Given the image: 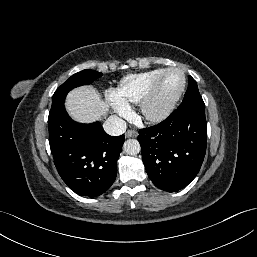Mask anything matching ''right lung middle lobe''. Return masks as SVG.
<instances>
[{
  "label": "right lung middle lobe",
  "instance_id": "dd1d6c3e",
  "mask_svg": "<svg viewBox=\"0 0 257 257\" xmlns=\"http://www.w3.org/2000/svg\"><path fill=\"white\" fill-rule=\"evenodd\" d=\"M102 76V73L94 70H82L72 75L66 82H64L54 93L52 97V106L49 114L64 106V101L67 93L81 85L91 84L93 80Z\"/></svg>",
  "mask_w": 257,
  "mask_h": 257
}]
</instances>
